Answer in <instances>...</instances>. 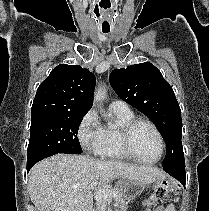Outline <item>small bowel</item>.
I'll return each mask as SVG.
<instances>
[{
	"instance_id": "1",
	"label": "small bowel",
	"mask_w": 209,
	"mask_h": 211,
	"mask_svg": "<svg viewBox=\"0 0 209 211\" xmlns=\"http://www.w3.org/2000/svg\"><path fill=\"white\" fill-rule=\"evenodd\" d=\"M146 211H174L172 206H166V207H159V208H148Z\"/></svg>"
}]
</instances>
